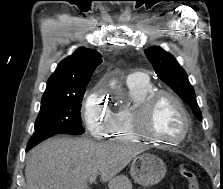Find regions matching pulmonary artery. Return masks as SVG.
Instances as JSON below:
<instances>
[{
	"label": "pulmonary artery",
	"mask_w": 223,
	"mask_h": 189,
	"mask_svg": "<svg viewBox=\"0 0 223 189\" xmlns=\"http://www.w3.org/2000/svg\"><path fill=\"white\" fill-rule=\"evenodd\" d=\"M148 81L147 75L143 72H134L129 75L127 79V84L134 85V84H142Z\"/></svg>",
	"instance_id": "pulmonary-artery-1"
}]
</instances>
